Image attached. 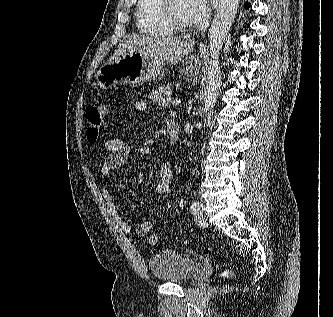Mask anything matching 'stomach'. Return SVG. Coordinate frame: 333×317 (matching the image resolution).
<instances>
[{
    "label": "stomach",
    "mask_w": 333,
    "mask_h": 317,
    "mask_svg": "<svg viewBox=\"0 0 333 317\" xmlns=\"http://www.w3.org/2000/svg\"><path fill=\"white\" fill-rule=\"evenodd\" d=\"M163 65L161 60L147 57L140 52H131L104 63L96 74V81L102 89H109L120 81L143 84L158 77L162 73ZM200 66V57L192 55L186 62L188 78H195Z\"/></svg>",
    "instance_id": "1"
}]
</instances>
